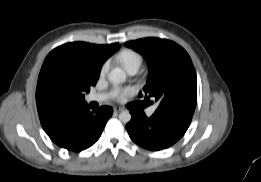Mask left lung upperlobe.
Masks as SVG:
<instances>
[{
    "mask_svg": "<svg viewBox=\"0 0 261 182\" xmlns=\"http://www.w3.org/2000/svg\"><path fill=\"white\" fill-rule=\"evenodd\" d=\"M125 46L148 61L149 77L143 91L146 100L154 97L160 102L155 114L191 120L197 101V77L187 52L178 44L159 38L129 41Z\"/></svg>",
    "mask_w": 261,
    "mask_h": 182,
    "instance_id": "5c2ea615",
    "label": "left lung upper lobe"
}]
</instances>
